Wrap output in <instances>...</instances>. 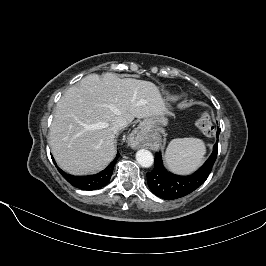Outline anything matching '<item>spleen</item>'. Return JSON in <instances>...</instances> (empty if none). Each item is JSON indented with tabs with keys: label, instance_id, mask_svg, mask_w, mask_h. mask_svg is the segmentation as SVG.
Listing matches in <instances>:
<instances>
[{
	"label": "spleen",
	"instance_id": "1",
	"mask_svg": "<svg viewBox=\"0 0 266 266\" xmlns=\"http://www.w3.org/2000/svg\"><path fill=\"white\" fill-rule=\"evenodd\" d=\"M205 153V144L200 139H173L167 147L165 160L172 171L187 174L203 162Z\"/></svg>",
	"mask_w": 266,
	"mask_h": 266
}]
</instances>
